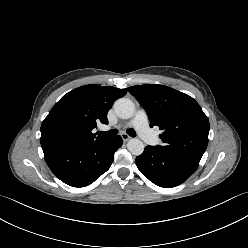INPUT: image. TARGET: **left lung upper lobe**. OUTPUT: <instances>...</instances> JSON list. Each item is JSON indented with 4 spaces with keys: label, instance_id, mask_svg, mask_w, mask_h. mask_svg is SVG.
<instances>
[{
    "label": "left lung upper lobe",
    "instance_id": "1",
    "mask_svg": "<svg viewBox=\"0 0 248 248\" xmlns=\"http://www.w3.org/2000/svg\"><path fill=\"white\" fill-rule=\"evenodd\" d=\"M145 109L151 122L163 134L158 150L200 161L208 144L209 120L199 104L189 95L173 88L143 84L127 88Z\"/></svg>",
    "mask_w": 248,
    "mask_h": 248
}]
</instances>
